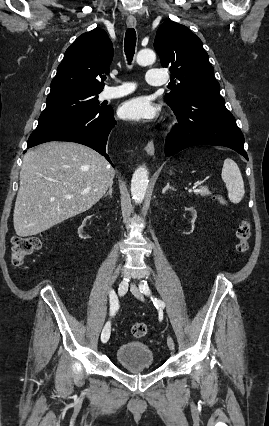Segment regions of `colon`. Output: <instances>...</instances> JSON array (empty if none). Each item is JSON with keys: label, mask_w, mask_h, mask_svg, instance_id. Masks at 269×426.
<instances>
[{"label": "colon", "mask_w": 269, "mask_h": 426, "mask_svg": "<svg viewBox=\"0 0 269 426\" xmlns=\"http://www.w3.org/2000/svg\"><path fill=\"white\" fill-rule=\"evenodd\" d=\"M220 203L225 204L224 199L218 196ZM251 236V225L247 218H242L236 230L238 240L237 250L245 253L248 250V242ZM42 247V239L39 236H16L12 240L11 261L19 266L26 257L32 255ZM132 334L141 338L147 334V326L144 323H136L132 326Z\"/></svg>", "instance_id": "1"}]
</instances>
